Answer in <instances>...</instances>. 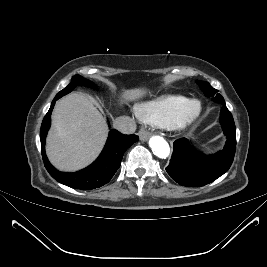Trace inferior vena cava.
Masks as SVG:
<instances>
[{"label":"inferior vena cava","mask_w":267,"mask_h":267,"mask_svg":"<svg viewBox=\"0 0 267 267\" xmlns=\"http://www.w3.org/2000/svg\"><path fill=\"white\" fill-rule=\"evenodd\" d=\"M113 127L123 134H132L136 130L135 122L128 116L117 117L113 121Z\"/></svg>","instance_id":"602c4592"}]
</instances>
